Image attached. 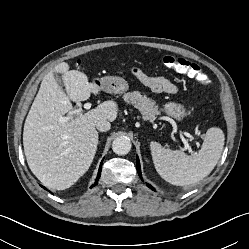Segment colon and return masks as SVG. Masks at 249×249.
Returning a JSON list of instances; mask_svg holds the SVG:
<instances>
[{
    "instance_id": "colon-1",
    "label": "colon",
    "mask_w": 249,
    "mask_h": 249,
    "mask_svg": "<svg viewBox=\"0 0 249 249\" xmlns=\"http://www.w3.org/2000/svg\"><path fill=\"white\" fill-rule=\"evenodd\" d=\"M162 63L165 67L174 69L181 74H185L199 83L204 84L208 81V77L203 72L202 68L187 59L174 55H165L162 58Z\"/></svg>"
}]
</instances>
